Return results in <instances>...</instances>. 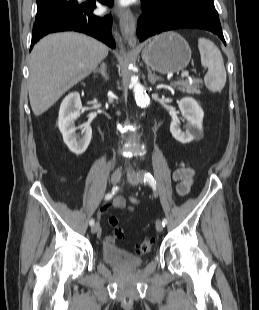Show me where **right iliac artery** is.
<instances>
[{"label":"right iliac artery","mask_w":259,"mask_h":310,"mask_svg":"<svg viewBox=\"0 0 259 310\" xmlns=\"http://www.w3.org/2000/svg\"><path fill=\"white\" fill-rule=\"evenodd\" d=\"M118 189H119L118 187H114V188L112 189V192H111V193H108V194L105 195V199H106V200L111 199V198L113 197V195L115 194V192L118 191ZM89 224H90L91 226H93V225H94V220L91 219V220L89 221Z\"/></svg>","instance_id":"obj_1"}]
</instances>
